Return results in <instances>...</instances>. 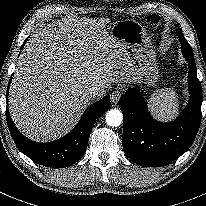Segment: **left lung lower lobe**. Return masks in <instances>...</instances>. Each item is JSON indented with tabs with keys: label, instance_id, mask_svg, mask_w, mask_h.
I'll return each instance as SVG.
<instances>
[{
	"label": "left lung lower lobe",
	"instance_id": "obj_1",
	"mask_svg": "<svg viewBox=\"0 0 206 206\" xmlns=\"http://www.w3.org/2000/svg\"><path fill=\"white\" fill-rule=\"evenodd\" d=\"M181 32V31H180ZM182 38V32L179 34ZM189 64L190 101L181 115L170 123L154 120L142 93L129 88L120 98L124 115L123 149L134 163L144 167H159L179 158L192 145L201 121L202 88L196 75L193 52L182 48Z\"/></svg>",
	"mask_w": 206,
	"mask_h": 206
}]
</instances>
